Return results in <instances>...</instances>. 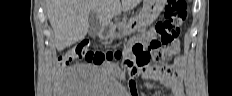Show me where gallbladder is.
Listing matches in <instances>:
<instances>
[{
	"label": "gallbladder",
	"instance_id": "obj_1",
	"mask_svg": "<svg viewBox=\"0 0 232 96\" xmlns=\"http://www.w3.org/2000/svg\"><path fill=\"white\" fill-rule=\"evenodd\" d=\"M88 34L91 37H96L101 31V22L99 20L98 14L95 11H91L88 17Z\"/></svg>",
	"mask_w": 232,
	"mask_h": 96
}]
</instances>
